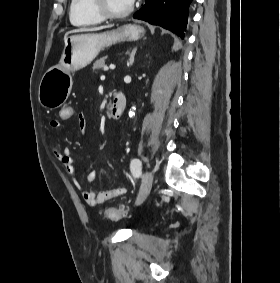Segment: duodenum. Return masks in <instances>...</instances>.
I'll use <instances>...</instances> for the list:
<instances>
[{
  "label": "duodenum",
  "instance_id": "1",
  "mask_svg": "<svg viewBox=\"0 0 280 283\" xmlns=\"http://www.w3.org/2000/svg\"><path fill=\"white\" fill-rule=\"evenodd\" d=\"M126 107V97L121 92H116L113 95L112 103L109 108V117L111 119H118L122 116Z\"/></svg>",
  "mask_w": 280,
  "mask_h": 283
}]
</instances>
